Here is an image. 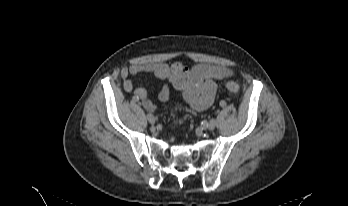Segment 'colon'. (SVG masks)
<instances>
[{"label":"colon","instance_id":"colon-1","mask_svg":"<svg viewBox=\"0 0 348 206\" xmlns=\"http://www.w3.org/2000/svg\"><path fill=\"white\" fill-rule=\"evenodd\" d=\"M226 90L233 96H237L240 91L239 84L233 80H227L224 83Z\"/></svg>","mask_w":348,"mask_h":206}]
</instances>
